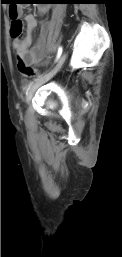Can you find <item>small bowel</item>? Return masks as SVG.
<instances>
[{"label": "small bowel", "mask_w": 122, "mask_h": 257, "mask_svg": "<svg viewBox=\"0 0 122 257\" xmlns=\"http://www.w3.org/2000/svg\"><path fill=\"white\" fill-rule=\"evenodd\" d=\"M19 13L22 10H18ZM48 11V7L40 5L38 12L44 15ZM26 23V34L21 38L13 40V48L20 60L31 66L41 64L49 47V34L52 29V24L47 20H42L40 23V33L35 44L32 45V32L38 25V20L33 14H26L24 16Z\"/></svg>", "instance_id": "obj_1"}]
</instances>
